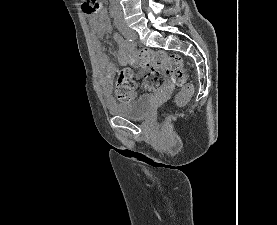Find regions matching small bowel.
Returning a JSON list of instances; mask_svg holds the SVG:
<instances>
[{"label":"small bowel","instance_id":"c3829d8e","mask_svg":"<svg viewBox=\"0 0 277 225\" xmlns=\"http://www.w3.org/2000/svg\"><path fill=\"white\" fill-rule=\"evenodd\" d=\"M89 21L94 32L92 41L93 53L97 66L102 70L101 85L103 88H106L112 74L115 71V66L109 61V58L106 55L105 50L99 42L97 36L103 35L110 31L109 17L104 9H100L97 15L92 14L89 16ZM114 40L119 45L117 52L118 60L122 63L128 62L130 60L129 46H127L117 34H114ZM141 74L142 72H139L136 77L139 78Z\"/></svg>","mask_w":277,"mask_h":225}]
</instances>
